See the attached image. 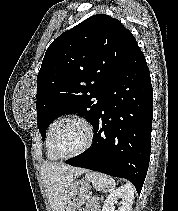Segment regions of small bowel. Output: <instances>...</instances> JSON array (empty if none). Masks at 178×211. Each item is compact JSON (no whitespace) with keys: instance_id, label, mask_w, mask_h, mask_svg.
Masks as SVG:
<instances>
[{"instance_id":"c3829d8e","label":"small bowel","mask_w":178,"mask_h":211,"mask_svg":"<svg viewBox=\"0 0 178 211\" xmlns=\"http://www.w3.org/2000/svg\"><path fill=\"white\" fill-rule=\"evenodd\" d=\"M80 211H100V205L98 203H95L92 207H85Z\"/></svg>"}]
</instances>
